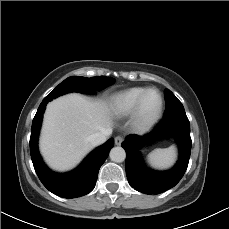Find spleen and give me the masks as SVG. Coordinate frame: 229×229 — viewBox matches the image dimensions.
Listing matches in <instances>:
<instances>
[{
    "label": "spleen",
    "instance_id": "1",
    "mask_svg": "<svg viewBox=\"0 0 229 229\" xmlns=\"http://www.w3.org/2000/svg\"><path fill=\"white\" fill-rule=\"evenodd\" d=\"M176 160V148L155 149L148 156L149 164L155 169H166Z\"/></svg>",
    "mask_w": 229,
    "mask_h": 229
}]
</instances>
